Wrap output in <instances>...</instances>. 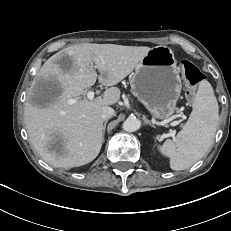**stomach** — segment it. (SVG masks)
I'll list each match as a JSON object with an SVG mask.
<instances>
[{
	"mask_svg": "<svg viewBox=\"0 0 231 231\" xmlns=\"http://www.w3.org/2000/svg\"><path fill=\"white\" fill-rule=\"evenodd\" d=\"M130 85L152 117H174L182 83L173 51L167 46L152 48L131 74Z\"/></svg>",
	"mask_w": 231,
	"mask_h": 231,
	"instance_id": "0dacf381",
	"label": "stomach"
}]
</instances>
